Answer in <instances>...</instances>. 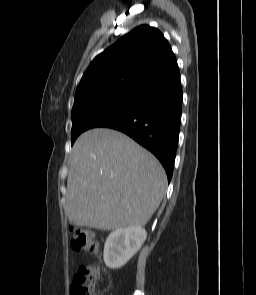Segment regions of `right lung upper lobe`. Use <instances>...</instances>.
Wrapping results in <instances>:
<instances>
[{
	"mask_svg": "<svg viewBox=\"0 0 256 295\" xmlns=\"http://www.w3.org/2000/svg\"><path fill=\"white\" fill-rule=\"evenodd\" d=\"M173 60L163 34L141 25L95 57L77 87L74 102L95 103L136 92Z\"/></svg>",
	"mask_w": 256,
	"mask_h": 295,
	"instance_id": "cb5924a9",
	"label": "right lung upper lobe"
}]
</instances>
